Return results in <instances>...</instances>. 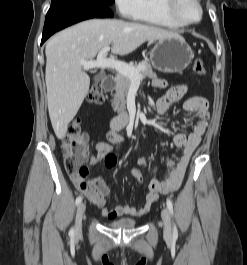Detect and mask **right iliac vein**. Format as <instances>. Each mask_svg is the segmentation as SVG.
<instances>
[{
    "label": "right iliac vein",
    "mask_w": 247,
    "mask_h": 265,
    "mask_svg": "<svg viewBox=\"0 0 247 265\" xmlns=\"http://www.w3.org/2000/svg\"><path fill=\"white\" fill-rule=\"evenodd\" d=\"M86 210V205L80 203L77 209L76 220H75V234L80 235L82 231V219Z\"/></svg>",
    "instance_id": "right-iliac-vein-1"
}]
</instances>
